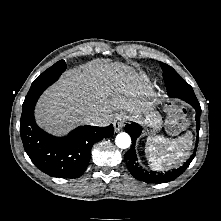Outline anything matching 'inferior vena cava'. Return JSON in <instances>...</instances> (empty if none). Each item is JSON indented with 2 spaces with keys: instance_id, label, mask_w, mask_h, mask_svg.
I'll use <instances>...</instances> for the list:
<instances>
[{
  "instance_id": "602c4592",
  "label": "inferior vena cava",
  "mask_w": 221,
  "mask_h": 221,
  "mask_svg": "<svg viewBox=\"0 0 221 221\" xmlns=\"http://www.w3.org/2000/svg\"><path fill=\"white\" fill-rule=\"evenodd\" d=\"M98 119V116L96 114H90L88 117H87V121L88 122H94Z\"/></svg>"
}]
</instances>
